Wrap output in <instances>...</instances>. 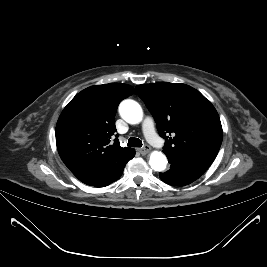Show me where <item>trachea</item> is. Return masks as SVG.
Returning <instances> with one entry per match:
<instances>
[{"label": "trachea", "instance_id": "obj_1", "mask_svg": "<svg viewBox=\"0 0 267 267\" xmlns=\"http://www.w3.org/2000/svg\"><path fill=\"white\" fill-rule=\"evenodd\" d=\"M127 146L130 147H141L142 146V141L138 138L131 137L128 140Z\"/></svg>", "mask_w": 267, "mask_h": 267}]
</instances>
